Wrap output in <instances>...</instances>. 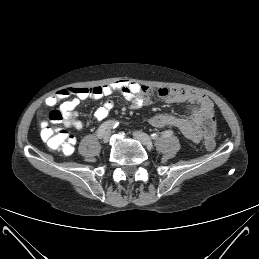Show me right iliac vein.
Instances as JSON below:
<instances>
[{
  "label": "right iliac vein",
  "mask_w": 259,
  "mask_h": 259,
  "mask_svg": "<svg viewBox=\"0 0 259 259\" xmlns=\"http://www.w3.org/2000/svg\"><path fill=\"white\" fill-rule=\"evenodd\" d=\"M110 136H111V132L109 130H107L103 136H102V141L104 143H107L110 140Z\"/></svg>",
  "instance_id": "1"
}]
</instances>
